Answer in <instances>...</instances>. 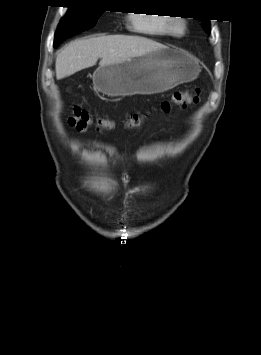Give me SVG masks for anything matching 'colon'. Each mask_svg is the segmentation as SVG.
I'll list each match as a JSON object with an SVG mask.
<instances>
[{
	"mask_svg": "<svg viewBox=\"0 0 261 355\" xmlns=\"http://www.w3.org/2000/svg\"><path fill=\"white\" fill-rule=\"evenodd\" d=\"M199 90L192 91H177L173 93L170 99L164 100L160 104V110L163 113H170L175 107H187L195 104L198 101ZM70 125L79 131H85L89 128H96L97 130H110L114 127V122L104 118H92L89 113L82 108L75 106L69 118ZM143 122V115L140 113L131 114L126 120V125L131 128L141 126Z\"/></svg>",
	"mask_w": 261,
	"mask_h": 355,
	"instance_id": "obj_1",
	"label": "colon"
}]
</instances>
